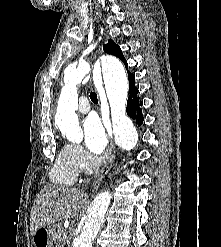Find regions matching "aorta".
I'll list each match as a JSON object with an SVG mask.
<instances>
[{
	"instance_id": "1",
	"label": "aorta",
	"mask_w": 221,
	"mask_h": 247,
	"mask_svg": "<svg viewBox=\"0 0 221 247\" xmlns=\"http://www.w3.org/2000/svg\"><path fill=\"white\" fill-rule=\"evenodd\" d=\"M90 72V65L79 62L77 66H68L64 73V86L58 101L56 122L62 133L71 142H80L83 132L79 127L76 110L78 108L77 85ZM102 75L107 98L111 108L115 141L124 150L133 149L138 141L137 130L126 115L128 80L122 63L114 57L102 60ZM111 201L109 192L100 193L93 201L81 231L73 242V247H92Z\"/></svg>"
}]
</instances>
